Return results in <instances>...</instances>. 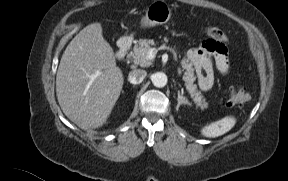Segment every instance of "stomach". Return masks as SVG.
I'll return each instance as SVG.
<instances>
[{
	"label": "stomach",
	"instance_id": "stomach-1",
	"mask_svg": "<svg viewBox=\"0 0 288 181\" xmlns=\"http://www.w3.org/2000/svg\"><path fill=\"white\" fill-rule=\"evenodd\" d=\"M172 15L170 6L164 0H154L145 11V15L140 20V28H151L167 23ZM131 36L120 39L123 44L132 41Z\"/></svg>",
	"mask_w": 288,
	"mask_h": 181
}]
</instances>
